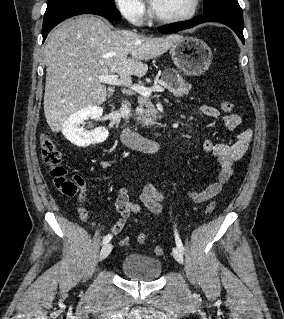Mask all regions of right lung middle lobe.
Returning <instances> with one entry per match:
<instances>
[{
    "label": "right lung middle lobe",
    "mask_w": 284,
    "mask_h": 319,
    "mask_svg": "<svg viewBox=\"0 0 284 319\" xmlns=\"http://www.w3.org/2000/svg\"><path fill=\"white\" fill-rule=\"evenodd\" d=\"M115 7L112 0H47L44 19L72 8Z\"/></svg>",
    "instance_id": "1"
}]
</instances>
